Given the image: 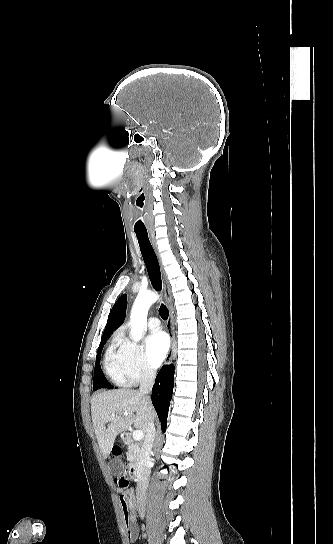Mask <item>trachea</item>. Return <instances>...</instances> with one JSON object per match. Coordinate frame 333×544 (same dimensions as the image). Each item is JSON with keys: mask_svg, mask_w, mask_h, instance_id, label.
Returning <instances> with one entry per match:
<instances>
[{"mask_svg": "<svg viewBox=\"0 0 333 544\" xmlns=\"http://www.w3.org/2000/svg\"><path fill=\"white\" fill-rule=\"evenodd\" d=\"M136 236L151 284L155 290L160 291L162 288L160 267L155 251L150 243L148 234L136 232ZM159 314L164 320L168 318L169 311L164 304H161Z\"/></svg>", "mask_w": 333, "mask_h": 544, "instance_id": "obj_1", "label": "trachea"}]
</instances>
